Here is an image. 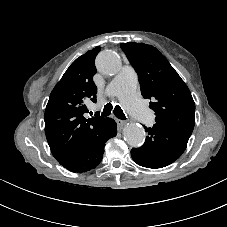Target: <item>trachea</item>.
Returning <instances> with one entry per match:
<instances>
[{"instance_id": "3493384b", "label": "trachea", "mask_w": 227, "mask_h": 227, "mask_svg": "<svg viewBox=\"0 0 227 227\" xmlns=\"http://www.w3.org/2000/svg\"><path fill=\"white\" fill-rule=\"evenodd\" d=\"M112 109H113V105L111 103H107L104 106L103 111L101 112V116L102 117L109 116L111 114V112H112ZM113 113L118 119H121V120H125L126 119L125 114H124L123 110L121 109V107L119 105H116L114 107Z\"/></svg>"}]
</instances>
